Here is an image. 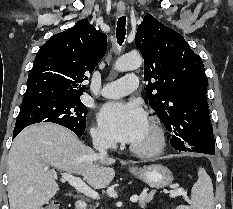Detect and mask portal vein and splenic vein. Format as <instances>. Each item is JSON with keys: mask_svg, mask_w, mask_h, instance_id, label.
Here are the masks:
<instances>
[{"mask_svg": "<svg viewBox=\"0 0 233 209\" xmlns=\"http://www.w3.org/2000/svg\"><path fill=\"white\" fill-rule=\"evenodd\" d=\"M62 178L64 180H66L71 186H73L78 192L84 194L85 196H88L90 198L93 199H99L100 196L98 194V192H96L95 190L91 189L85 182H83L81 180V178L76 177L70 173H62ZM178 195H181L180 192H173L170 197H176ZM186 195V193H184V196ZM140 199V197L138 196H132L130 198V201L132 203L137 202Z\"/></svg>", "mask_w": 233, "mask_h": 209, "instance_id": "18ae733b", "label": "portal vein and splenic vein"}]
</instances>
